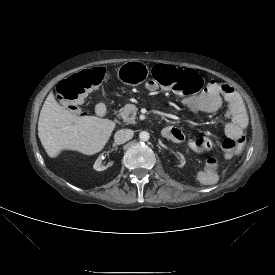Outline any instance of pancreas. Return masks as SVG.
<instances>
[{
  "label": "pancreas",
  "instance_id": "obj_1",
  "mask_svg": "<svg viewBox=\"0 0 275 275\" xmlns=\"http://www.w3.org/2000/svg\"><path fill=\"white\" fill-rule=\"evenodd\" d=\"M138 108L134 104H126L119 111V116L123 119V121L127 124L135 123V116Z\"/></svg>",
  "mask_w": 275,
  "mask_h": 275
}]
</instances>
